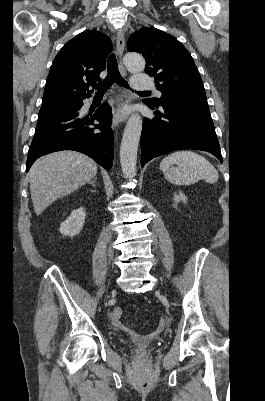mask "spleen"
<instances>
[{
	"label": "spleen",
	"instance_id": "1",
	"mask_svg": "<svg viewBox=\"0 0 265 401\" xmlns=\"http://www.w3.org/2000/svg\"><path fill=\"white\" fill-rule=\"evenodd\" d=\"M177 164V166H173ZM171 166V168H170ZM160 170H162L165 178L178 184V186H188L194 184L198 180H206V182H217L219 174L209 160L204 156H200L192 150H177L165 156L160 162Z\"/></svg>",
	"mask_w": 265,
	"mask_h": 401
}]
</instances>
